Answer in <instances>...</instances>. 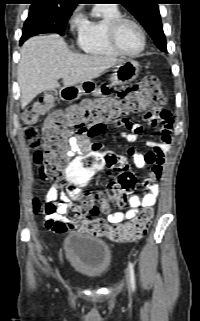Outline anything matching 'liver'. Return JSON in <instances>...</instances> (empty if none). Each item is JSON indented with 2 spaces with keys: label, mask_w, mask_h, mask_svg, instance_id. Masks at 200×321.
Returning a JSON list of instances; mask_svg holds the SVG:
<instances>
[{
  "label": "liver",
  "mask_w": 200,
  "mask_h": 321,
  "mask_svg": "<svg viewBox=\"0 0 200 321\" xmlns=\"http://www.w3.org/2000/svg\"><path fill=\"white\" fill-rule=\"evenodd\" d=\"M123 60L102 55L72 53L59 35H39L28 39L21 49L17 76L21 107H26L38 94L74 86L99 77Z\"/></svg>",
  "instance_id": "obj_1"
}]
</instances>
